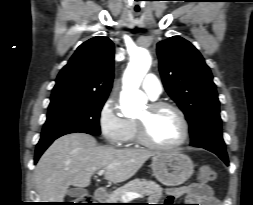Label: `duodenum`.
Here are the masks:
<instances>
[{
	"label": "duodenum",
	"mask_w": 253,
	"mask_h": 205,
	"mask_svg": "<svg viewBox=\"0 0 253 205\" xmlns=\"http://www.w3.org/2000/svg\"><path fill=\"white\" fill-rule=\"evenodd\" d=\"M94 198L98 202H104L108 198V191L105 188H98L94 192Z\"/></svg>",
	"instance_id": "1"
}]
</instances>
